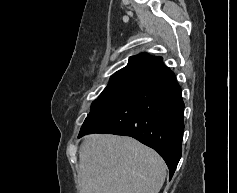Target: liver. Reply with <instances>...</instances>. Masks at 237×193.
I'll return each mask as SVG.
<instances>
[{"label": "liver", "mask_w": 237, "mask_h": 193, "mask_svg": "<svg viewBox=\"0 0 237 193\" xmlns=\"http://www.w3.org/2000/svg\"><path fill=\"white\" fill-rule=\"evenodd\" d=\"M166 169L153 149L131 137L88 135L79 151L80 193H159Z\"/></svg>", "instance_id": "liver-1"}]
</instances>
